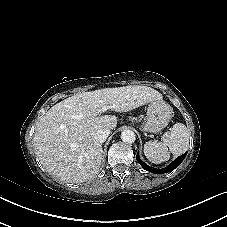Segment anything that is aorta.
<instances>
[{
	"label": "aorta",
	"instance_id": "obj_1",
	"mask_svg": "<svg viewBox=\"0 0 227 227\" xmlns=\"http://www.w3.org/2000/svg\"><path fill=\"white\" fill-rule=\"evenodd\" d=\"M136 139V135L132 130H123L121 133V140L125 143H133Z\"/></svg>",
	"mask_w": 227,
	"mask_h": 227
}]
</instances>
